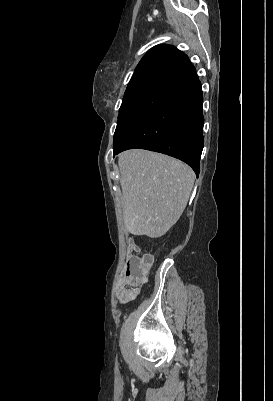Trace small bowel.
Here are the masks:
<instances>
[{
	"label": "small bowel",
	"mask_w": 273,
	"mask_h": 401,
	"mask_svg": "<svg viewBox=\"0 0 273 401\" xmlns=\"http://www.w3.org/2000/svg\"><path fill=\"white\" fill-rule=\"evenodd\" d=\"M146 280H141V283H145ZM120 304H139L140 293L137 290H122L118 298Z\"/></svg>",
	"instance_id": "1"
}]
</instances>
